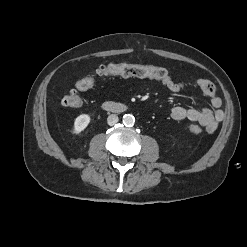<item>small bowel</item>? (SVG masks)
Masks as SVG:
<instances>
[{
    "instance_id": "small-bowel-1",
    "label": "small bowel",
    "mask_w": 247,
    "mask_h": 247,
    "mask_svg": "<svg viewBox=\"0 0 247 247\" xmlns=\"http://www.w3.org/2000/svg\"><path fill=\"white\" fill-rule=\"evenodd\" d=\"M162 84L174 93L181 91L185 86L183 81H174L171 78L163 80ZM195 86H197L201 92L210 99L213 109L206 107L197 109L175 106L171 110V117L177 121L188 120L196 122L204 127L206 132L213 133L224 118V111L221 108L222 101L217 96L216 88L211 81L206 79H197L195 81Z\"/></svg>"
}]
</instances>
